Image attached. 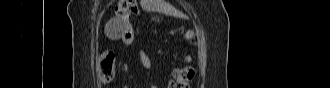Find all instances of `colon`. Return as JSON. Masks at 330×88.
<instances>
[{"label":"colon","mask_w":330,"mask_h":88,"mask_svg":"<svg viewBox=\"0 0 330 88\" xmlns=\"http://www.w3.org/2000/svg\"><path fill=\"white\" fill-rule=\"evenodd\" d=\"M138 8L136 1L123 0L120 1L116 14L124 23V31L121 36L122 42L126 46H130L134 40V34L130 27L129 20L137 14ZM98 73L101 82L107 83L113 80L115 76V60L114 55L110 51H104L98 59ZM194 77V70L187 64L177 67L173 72V79L170 88H188L190 81Z\"/></svg>","instance_id":"1"}]
</instances>
